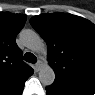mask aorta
I'll return each instance as SVG.
<instances>
[{
	"label": "aorta",
	"mask_w": 95,
	"mask_h": 95,
	"mask_svg": "<svg viewBox=\"0 0 95 95\" xmlns=\"http://www.w3.org/2000/svg\"><path fill=\"white\" fill-rule=\"evenodd\" d=\"M20 40L29 49L40 51L45 48L43 39L33 30L26 29L20 33ZM39 80L44 86L52 85L55 73L49 64H44L39 71Z\"/></svg>",
	"instance_id": "aorta-1"
}]
</instances>
